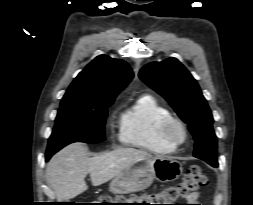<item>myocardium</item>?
Instances as JSON below:
<instances>
[{
    "label": "myocardium",
    "instance_id": "obj_1",
    "mask_svg": "<svg viewBox=\"0 0 253 205\" xmlns=\"http://www.w3.org/2000/svg\"><path fill=\"white\" fill-rule=\"evenodd\" d=\"M176 130L179 131V135H176ZM160 136L167 144L178 147L186 141L188 130L182 120L172 117L163 123L160 129Z\"/></svg>",
    "mask_w": 253,
    "mask_h": 205
}]
</instances>
